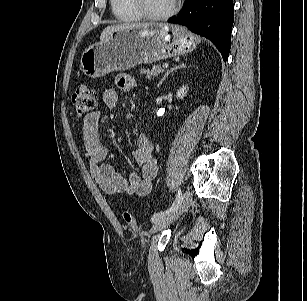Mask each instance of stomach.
Returning a JSON list of instances; mask_svg holds the SVG:
<instances>
[{"instance_id": "1", "label": "stomach", "mask_w": 307, "mask_h": 301, "mask_svg": "<svg viewBox=\"0 0 307 301\" xmlns=\"http://www.w3.org/2000/svg\"><path fill=\"white\" fill-rule=\"evenodd\" d=\"M199 43L200 38L179 25L152 23L120 29L87 47L82 53L80 68L86 76L99 78L138 64L189 53Z\"/></svg>"}]
</instances>
